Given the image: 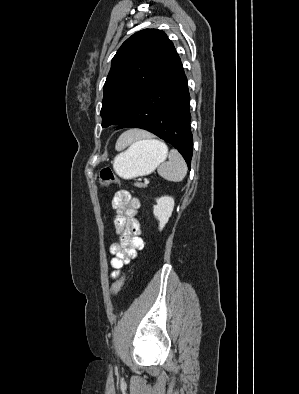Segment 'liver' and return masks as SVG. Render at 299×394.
Wrapping results in <instances>:
<instances>
[{"label":"liver","instance_id":"liver-1","mask_svg":"<svg viewBox=\"0 0 299 394\" xmlns=\"http://www.w3.org/2000/svg\"><path fill=\"white\" fill-rule=\"evenodd\" d=\"M148 136H149V134L147 132H145V131H142V130H130V131L125 133V137L124 138H125V140L127 141V144H128V143H131L134 140L145 138V137H148Z\"/></svg>","mask_w":299,"mask_h":394}]
</instances>
